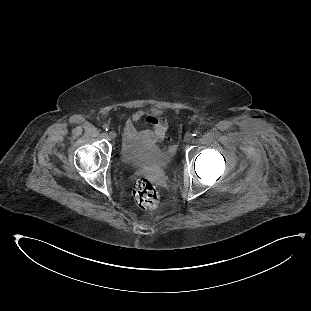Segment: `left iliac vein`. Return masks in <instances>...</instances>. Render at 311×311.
<instances>
[{
	"mask_svg": "<svg viewBox=\"0 0 311 311\" xmlns=\"http://www.w3.org/2000/svg\"><path fill=\"white\" fill-rule=\"evenodd\" d=\"M192 134L191 133H187V134H185V136H184V141L185 142H187V143H189L191 140H192Z\"/></svg>",
	"mask_w": 311,
	"mask_h": 311,
	"instance_id": "left-iliac-vein-1",
	"label": "left iliac vein"
}]
</instances>
